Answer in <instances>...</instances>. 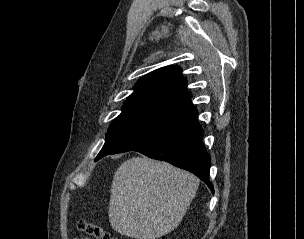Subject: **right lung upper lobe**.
Masks as SVG:
<instances>
[{
  "instance_id": "cb5924a9",
  "label": "right lung upper lobe",
  "mask_w": 304,
  "mask_h": 239,
  "mask_svg": "<svg viewBox=\"0 0 304 239\" xmlns=\"http://www.w3.org/2000/svg\"><path fill=\"white\" fill-rule=\"evenodd\" d=\"M187 81L178 66H166L142 77L124 102L122 112H144L178 119L196 111L187 90Z\"/></svg>"
}]
</instances>
